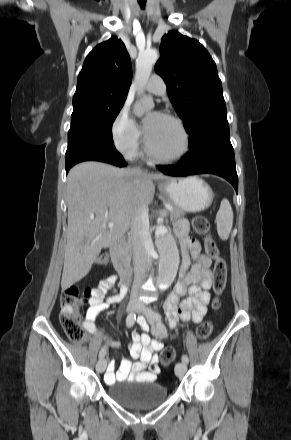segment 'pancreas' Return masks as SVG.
Here are the masks:
<instances>
[{
  "label": "pancreas",
  "mask_w": 291,
  "mask_h": 440,
  "mask_svg": "<svg viewBox=\"0 0 291 440\" xmlns=\"http://www.w3.org/2000/svg\"><path fill=\"white\" fill-rule=\"evenodd\" d=\"M173 210L170 212V219L172 221L177 220L178 218L184 215V211L172 205Z\"/></svg>",
  "instance_id": "cf45deb5"
}]
</instances>
